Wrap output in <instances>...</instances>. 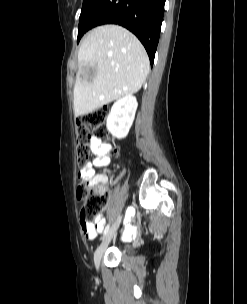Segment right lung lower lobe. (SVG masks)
<instances>
[{
    "label": "right lung lower lobe",
    "instance_id": "obj_1",
    "mask_svg": "<svg viewBox=\"0 0 247 304\" xmlns=\"http://www.w3.org/2000/svg\"><path fill=\"white\" fill-rule=\"evenodd\" d=\"M164 4L165 0H101L83 19L84 33L102 24L121 25L138 37L152 66L160 36Z\"/></svg>",
    "mask_w": 247,
    "mask_h": 304
}]
</instances>
